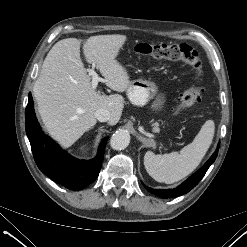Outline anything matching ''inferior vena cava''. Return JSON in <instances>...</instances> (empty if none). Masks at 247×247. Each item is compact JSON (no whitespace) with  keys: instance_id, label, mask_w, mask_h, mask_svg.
<instances>
[{"instance_id":"obj_1","label":"inferior vena cava","mask_w":247,"mask_h":247,"mask_svg":"<svg viewBox=\"0 0 247 247\" xmlns=\"http://www.w3.org/2000/svg\"><path fill=\"white\" fill-rule=\"evenodd\" d=\"M95 117L100 122H107L110 120L111 114L107 109L101 108L95 112Z\"/></svg>"}]
</instances>
